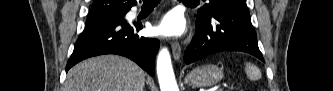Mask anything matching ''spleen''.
I'll use <instances>...</instances> for the list:
<instances>
[{"mask_svg": "<svg viewBox=\"0 0 333 91\" xmlns=\"http://www.w3.org/2000/svg\"><path fill=\"white\" fill-rule=\"evenodd\" d=\"M245 72L247 77L252 81H256L261 78V72L258 67L250 62L245 63Z\"/></svg>", "mask_w": 333, "mask_h": 91, "instance_id": "3e777b00", "label": "spleen"}]
</instances>
